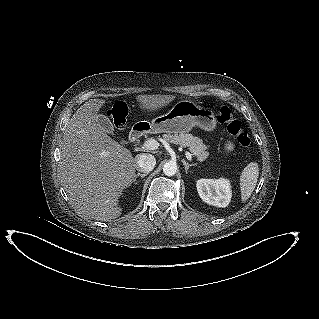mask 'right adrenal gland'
Returning a JSON list of instances; mask_svg holds the SVG:
<instances>
[{"mask_svg": "<svg viewBox=\"0 0 319 319\" xmlns=\"http://www.w3.org/2000/svg\"><path fill=\"white\" fill-rule=\"evenodd\" d=\"M147 175V173H137L136 175H135V178H134V180H133V182L135 183L136 182V179L138 178V177H141V178H144L145 176Z\"/></svg>", "mask_w": 319, "mask_h": 319, "instance_id": "2a0ac1e0", "label": "right adrenal gland"}]
</instances>
